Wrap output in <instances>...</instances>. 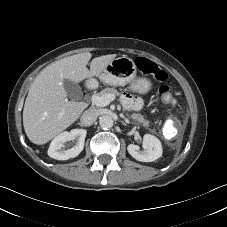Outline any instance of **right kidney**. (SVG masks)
I'll return each mask as SVG.
<instances>
[{"instance_id": "obj_1", "label": "right kidney", "mask_w": 227, "mask_h": 227, "mask_svg": "<svg viewBox=\"0 0 227 227\" xmlns=\"http://www.w3.org/2000/svg\"><path fill=\"white\" fill-rule=\"evenodd\" d=\"M87 131L85 129H73L57 135L50 143L48 155L57 160H68L78 156L84 148ZM76 140V144L65 149V143Z\"/></svg>"}]
</instances>
